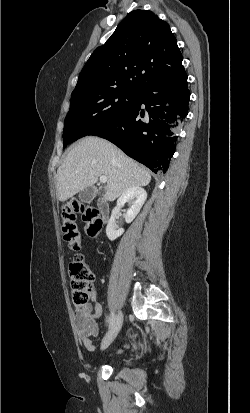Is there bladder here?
I'll use <instances>...</instances> for the list:
<instances>
[{"label": "bladder", "mask_w": 250, "mask_h": 413, "mask_svg": "<svg viewBox=\"0 0 250 413\" xmlns=\"http://www.w3.org/2000/svg\"><path fill=\"white\" fill-rule=\"evenodd\" d=\"M122 362H123V363H127V362H128V360L124 359V360H122Z\"/></svg>", "instance_id": "31cf9c89"}]
</instances>
